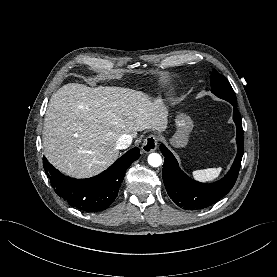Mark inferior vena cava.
I'll return each instance as SVG.
<instances>
[{
  "label": "inferior vena cava",
  "instance_id": "602c4592",
  "mask_svg": "<svg viewBox=\"0 0 277 277\" xmlns=\"http://www.w3.org/2000/svg\"><path fill=\"white\" fill-rule=\"evenodd\" d=\"M132 138L129 134L121 135L116 141V148L120 150L128 148L132 143Z\"/></svg>",
  "mask_w": 277,
  "mask_h": 277
}]
</instances>
